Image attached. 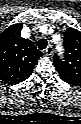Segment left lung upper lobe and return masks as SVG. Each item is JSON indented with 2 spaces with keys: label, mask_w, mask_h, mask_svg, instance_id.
<instances>
[{
  "label": "left lung upper lobe",
  "mask_w": 81,
  "mask_h": 124,
  "mask_svg": "<svg viewBox=\"0 0 81 124\" xmlns=\"http://www.w3.org/2000/svg\"><path fill=\"white\" fill-rule=\"evenodd\" d=\"M64 58L57 54L53 57V64L60 77L67 83L76 85L81 83V32L68 28L64 34Z\"/></svg>",
  "instance_id": "obj_1"
}]
</instances>
